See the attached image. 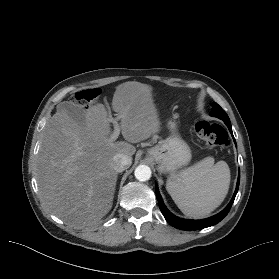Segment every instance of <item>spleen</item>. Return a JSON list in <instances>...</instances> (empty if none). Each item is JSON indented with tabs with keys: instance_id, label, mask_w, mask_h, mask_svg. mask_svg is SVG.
Masks as SVG:
<instances>
[{
	"instance_id": "1",
	"label": "spleen",
	"mask_w": 279,
	"mask_h": 279,
	"mask_svg": "<svg viewBox=\"0 0 279 279\" xmlns=\"http://www.w3.org/2000/svg\"><path fill=\"white\" fill-rule=\"evenodd\" d=\"M225 161L206 157L192 167L172 175L166 189L178 208L188 217L204 218L224 201L230 185Z\"/></svg>"
}]
</instances>
